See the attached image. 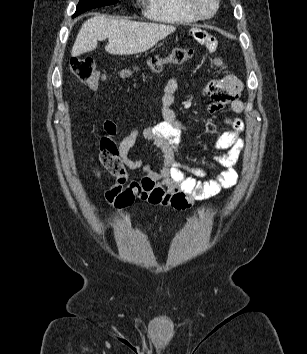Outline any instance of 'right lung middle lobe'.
Returning <instances> with one entry per match:
<instances>
[{
  "label": "right lung middle lobe",
  "mask_w": 307,
  "mask_h": 354,
  "mask_svg": "<svg viewBox=\"0 0 307 354\" xmlns=\"http://www.w3.org/2000/svg\"><path fill=\"white\" fill-rule=\"evenodd\" d=\"M116 2H118V0H80L78 3V6H77V10H76L75 14L73 15V17L77 16L87 10L111 5Z\"/></svg>",
  "instance_id": "1"
}]
</instances>
